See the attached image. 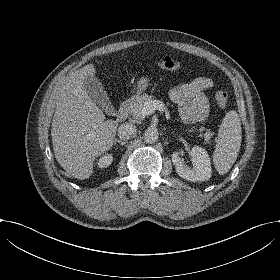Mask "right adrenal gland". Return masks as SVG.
<instances>
[{
    "label": "right adrenal gland",
    "instance_id": "right-adrenal-gland-1",
    "mask_svg": "<svg viewBox=\"0 0 280 280\" xmlns=\"http://www.w3.org/2000/svg\"><path fill=\"white\" fill-rule=\"evenodd\" d=\"M117 143L123 146V145L126 144V141H122V140H119V139H116V138H115V139L113 140V145L116 146Z\"/></svg>",
    "mask_w": 280,
    "mask_h": 280
}]
</instances>
